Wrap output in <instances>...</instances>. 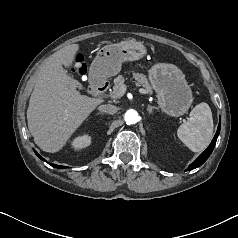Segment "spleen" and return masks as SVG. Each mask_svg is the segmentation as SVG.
Returning <instances> with one entry per match:
<instances>
[{"mask_svg":"<svg viewBox=\"0 0 238 238\" xmlns=\"http://www.w3.org/2000/svg\"><path fill=\"white\" fill-rule=\"evenodd\" d=\"M189 116L188 121L178 128L177 136L191 151H203L213 136L211 109L207 103L202 102L192 109Z\"/></svg>","mask_w":238,"mask_h":238,"instance_id":"obj_1","label":"spleen"}]
</instances>
